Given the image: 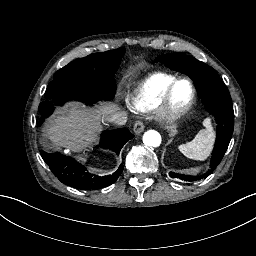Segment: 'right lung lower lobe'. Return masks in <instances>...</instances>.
<instances>
[{"label":"right lung lower lobe","mask_w":256,"mask_h":256,"mask_svg":"<svg viewBox=\"0 0 256 256\" xmlns=\"http://www.w3.org/2000/svg\"><path fill=\"white\" fill-rule=\"evenodd\" d=\"M87 103L92 104L93 102ZM53 110L48 111L46 116H42L39 126L44 118L48 117ZM133 137L134 135L125 128L106 130L102 133L100 145L103 148L112 149L119 154L124 144ZM40 153L50 170L62 183L81 190H96L111 185L118 179L123 170V165L121 164L118 170L113 174L97 176L88 173L83 165L68 156L58 152L49 154L44 150H41Z\"/></svg>","instance_id":"98d812e1"}]
</instances>
